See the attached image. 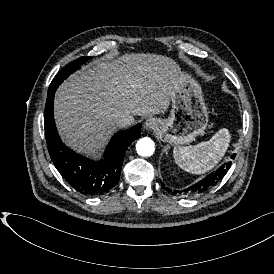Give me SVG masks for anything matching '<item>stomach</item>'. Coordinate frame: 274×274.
I'll return each mask as SVG.
<instances>
[{
	"instance_id": "stomach-1",
	"label": "stomach",
	"mask_w": 274,
	"mask_h": 274,
	"mask_svg": "<svg viewBox=\"0 0 274 274\" xmlns=\"http://www.w3.org/2000/svg\"><path fill=\"white\" fill-rule=\"evenodd\" d=\"M207 124L208 112L201 88L193 79L181 74L174 88L170 116L162 120L157 133L159 139L177 146L185 145L202 135Z\"/></svg>"
}]
</instances>
